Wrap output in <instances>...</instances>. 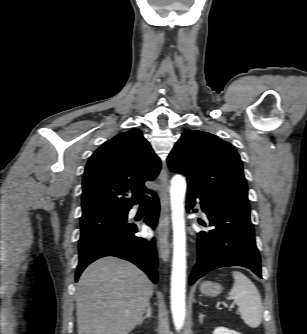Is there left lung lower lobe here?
<instances>
[{
  "label": "left lung lower lobe",
  "instance_id": "1",
  "mask_svg": "<svg viewBox=\"0 0 307 334\" xmlns=\"http://www.w3.org/2000/svg\"><path fill=\"white\" fill-rule=\"evenodd\" d=\"M196 198H200L202 210L214 229L197 234L198 259L190 276V284L213 269L230 266L249 268L262 278L250 209L205 198L188 190L187 211L194 206Z\"/></svg>",
  "mask_w": 307,
  "mask_h": 334
}]
</instances>
